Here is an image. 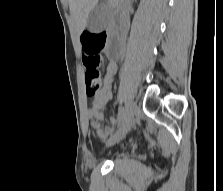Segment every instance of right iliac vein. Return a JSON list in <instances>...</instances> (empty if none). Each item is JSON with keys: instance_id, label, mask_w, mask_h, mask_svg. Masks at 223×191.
<instances>
[{"instance_id": "63e3f726", "label": "right iliac vein", "mask_w": 223, "mask_h": 191, "mask_svg": "<svg viewBox=\"0 0 223 191\" xmlns=\"http://www.w3.org/2000/svg\"><path fill=\"white\" fill-rule=\"evenodd\" d=\"M135 110V103L132 100L128 99L126 101V113L124 115L123 122L120 125L118 131L108 140L107 144L109 146H112L121 141L130 131L133 124Z\"/></svg>"}]
</instances>
